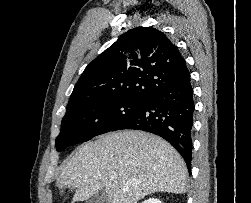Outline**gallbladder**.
Returning a JSON list of instances; mask_svg holds the SVG:
<instances>
[{
    "label": "gallbladder",
    "instance_id": "gallbladder-1",
    "mask_svg": "<svg viewBox=\"0 0 251 203\" xmlns=\"http://www.w3.org/2000/svg\"><path fill=\"white\" fill-rule=\"evenodd\" d=\"M86 203H109L107 193L104 190L91 196Z\"/></svg>",
    "mask_w": 251,
    "mask_h": 203
}]
</instances>
